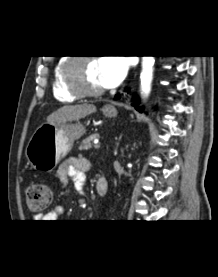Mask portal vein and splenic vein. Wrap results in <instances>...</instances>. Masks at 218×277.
<instances>
[{
    "label": "portal vein and splenic vein",
    "instance_id": "1",
    "mask_svg": "<svg viewBox=\"0 0 218 277\" xmlns=\"http://www.w3.org/2000/svg\"><path fill=\"white\" fill-rule=\"evenodd\" d=\"M95 149H99L100 148V144H99V142H98V140H95Z\"/></svg>",
    "mask_w": 218,
    "mask_h": 277
}]
</instances>
